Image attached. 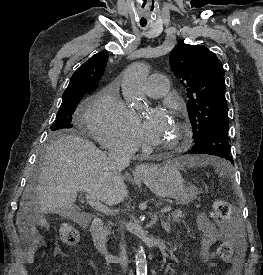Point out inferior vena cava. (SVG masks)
<instances>
[{
    "instance_id": "inferior-vena-cava-1",
    "label": "inferior vena cava",
    "mask_w": 263,
    "mask_h": 275,
    "mask_svg": "<svg viewBox=\"0 0 263 275\" xmlns=\"http://www.w3.org/2000/svg\"><path fill=\"white\" fill-rule=\"evenodd\" d=\"M131 156H132V151L128 150V148L123 146L113 147L109 150L108 157L114 169V173L118 177H121L120 172L122 171V169H124L129 165ZM120 249H121L120 264L122 266V269H126L128 265V258H127L126 245L124 244L123 238L120 244Z\"/></svg>"
}]
</instances>
